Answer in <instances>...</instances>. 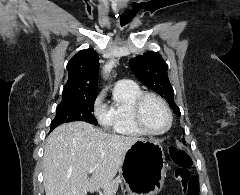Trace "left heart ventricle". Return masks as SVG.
I'll return each instance as SVG.
<instances>
[{
  "mask_svg": "<svg viewBox=\"0 0 240 195\" xmlns=\"http://www.w3.org/2000/svg\"><path fill=\"white\" fill-rule=\"evenodd\" d=\"M143 118L146 125L155 131L162 130L167 123L162 106L152 98L147 99L143 105Z\"/></svg>",
  "mask_w": 240,
  "mask_h": 195,
  "instance_id": "obj_1",
  "label": "left heart ventricle"
}]
</instances>
